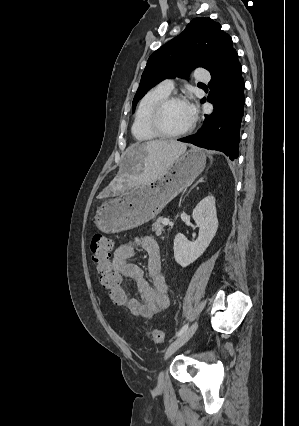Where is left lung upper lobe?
<instances>
[{
	"label": "left lung upper lobe",
	"mask_w": 299,
	"mask_h": 426,
	"mask_svg": "<svg viewBox=\"0 0 299 426\" xmlns=\"http://www.w3.org/2000/svg\"><path fill=\"white\" fill-rule=\"evenodd\" d=\"M234 50L231 37L211 18H195L177 37L156 50L148 59L139 88L133 99V110L139 99L166 78L185 77L186 71L203 67L210 71L226 53ZM205 52L208 59L196 56Z\"/></svg>",
	"instance_id": "left-lung-upper-lobe-1"
}]
</instances>
